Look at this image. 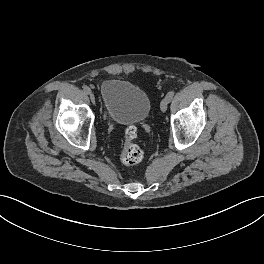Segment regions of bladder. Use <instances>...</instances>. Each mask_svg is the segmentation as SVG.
Segmentation results:
<instances>
[{
    "label": "bladder",
    "instance_id": "31cf9c89",
    "mask_svg": "<svg viewBox=\"0 0 264 264\" xmlns=\"http://www.w3.org/2000/svg\"><path fill=\"white\" fill-rule=\"evenodd\" d=\"M102 111L113 124H136L146 120L151 102L138 85L121 79H107L101 84Z\"/></svg>",
    "mask_w": 264,
    "mask_h": 264
}]
</instances>
